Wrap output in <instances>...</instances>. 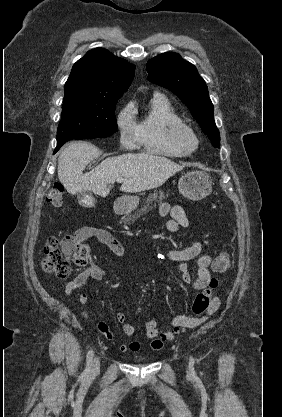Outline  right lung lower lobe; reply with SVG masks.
Here are the masks:
<instances>
[{
    "instance_id": "98d812e1",
    "label": "right lung lower lobe",
    "mask_w": 282,
    "mask_h": 417,
    "mask_svg": "<svg viewBox=\"0 0 282 417\" xmlns=\"http://www.w3.org/2000/svg\"><path fill=\"white\" fill-rule=\"evenodd\" d=\"M66 142H67V141H66ZM64 143H65V142L57 143V147H56V149H55L54 153H55V152H57V151L60 149V147H61Z\"/></svg>"
}]
</instances>
